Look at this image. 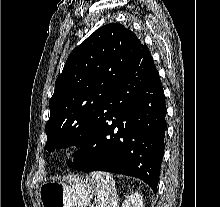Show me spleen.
I'll use <instances>...</instances> for the list:
<instances>
[{"mask_svg":"<svg viewBox=\"0 0 220 207\" xmlns=\"http://www.w3.org/2000/svg\"><path fill=\"white\" fill-rule=\"evenodd\" d=\"M91 176L96 184V207H116L118 198L112 176L109 173L100 171L93 172Z\"/></svg>","mask_w":220,"mask_h":207,"instance_id":"obj_1","label":"spleen"}]
</instances>
